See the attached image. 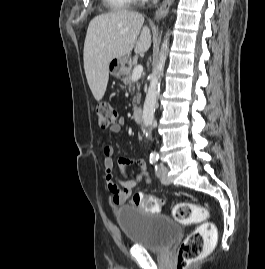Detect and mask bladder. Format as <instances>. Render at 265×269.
Listing matches in <instances>:
<instances>
[{
  "mask_svg": "<svg viewBox=\"0 0 265 269\" xmlns=\"http://www.w3.org/2000/svg\"><path fill=\"white\" fill-rule=\"evenodd\" d=\"M115 216L128 241L148 250L165 251L181 235L180 225L168 216L142 211L133 205L118 208Z\"/></svg>",
  "mask_w": 265,
  "mask_h": 269,
  "instance_id": "1",
  "label": "bladder"
}]
</instances>
